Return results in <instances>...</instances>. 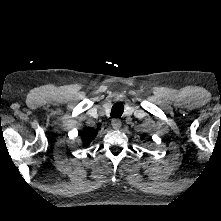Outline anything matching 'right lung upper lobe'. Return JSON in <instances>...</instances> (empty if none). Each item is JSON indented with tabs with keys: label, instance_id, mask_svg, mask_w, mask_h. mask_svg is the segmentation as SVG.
Instances as JSON below:
<instances>
[{
	"label": "right lung upper lobe",
	"instance_id": "1",
	"mask_svg": "<svg viewBox=\"0 0 221 221\" xmlns=\"http://www.w3.org/2000/svg\"><path fill=\"white\" fill-rule=\"evenodd\" d=\"M96 135H97L96 130L86 128L83 131L81 138H82V141L84 142V144L88 145L95 138Z\"/></svg>",
	"mask_w": 221,
	"mask_h": 221
}]
</instances>
